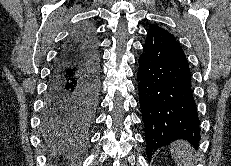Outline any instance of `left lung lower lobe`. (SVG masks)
Here are the masks:
<instances>
[{"instance_id":"left-lung-lower-lobe-1","label":"left lung lower lobe","mask_w":231,"mask_h":166,"mask_svg":"<svg viewBox=\"0 0 231 166\" xmlns=\"http://www.w3.org/2000/svg\"><path fill=\"white\" fill-rule=\"evenodd\" d=\"M138 63L147 154L152 155L177 139L197 146L200 121L192 95L191 73L174 35L159 26H151Z\"/></svg>"}]
</instances>
